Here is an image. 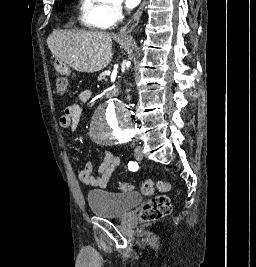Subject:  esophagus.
I'll list each match as a JSON object with an SVG mask.
<instances>
[{
	"label": "esophagus",
	"mask_w": 256,
	"mask_h": 267,
	"mask_svg": "<svg viewBox=\"0 0 256 267\" xmlns=\"http://www.w3.org/2000/svg\"><path fill=\"white\" fill-rule=\"evenodd\" d=\"M144 5L145 0L142 1L140 7L134 13L133 17L129 20V22H127L123 27H121L118 36L127 35L128 33L132 32V30L136 27L140 20V17L143 13Z\"/></svg>",
	"instance_id": "1"
}]
</instances>
